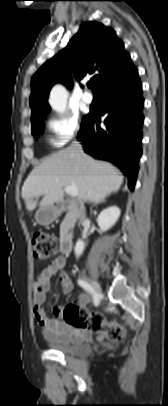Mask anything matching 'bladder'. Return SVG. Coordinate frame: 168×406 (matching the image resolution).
Instances as JSON below:
<instances>
[{"instance_id":"bladder-1","label":"bladder","mask_w":168,"mask_h":406,"mask_svg":"<svg viewBox=\"0 0 168 406\" xmlns=\"http://www.w3.org/2000/svg\"><path fill=\"white\" fill-rule=\"evenodd\" d=\"M50 347L64 355L84 357L92 352V346L87 342H54L48 340Z\"/></svg>"}]
</instances>
